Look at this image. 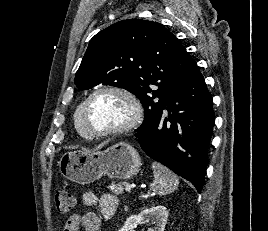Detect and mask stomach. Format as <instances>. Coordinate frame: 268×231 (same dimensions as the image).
Here are the masks:
<instances>
[{
	"mask_svg": "<svg viewBox=\"0 0 268 231\" xmlns=\"http://www.w3.org/2000/svg\"><path fill=\"white\" fill-rule=\"evenodd\" d=\"M58 166L63 177L89 184L104 175L112 179H130L139 173L141 159L131 145L120 142L104 151L66 152L60 157Z\"/></svg>",
	"mask_w": 268,
	"mask_h": 231,
	"instance_id": "stomach-1",
	"label": "stomach"
}]
</instances>
